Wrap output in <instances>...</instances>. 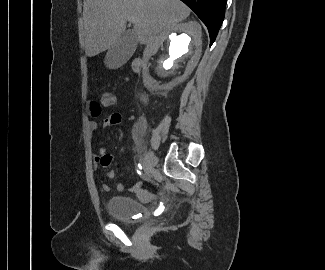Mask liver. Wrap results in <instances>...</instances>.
Returning <instances> with one entry per match:
<instances>
[{
  "label": "liver",
  "mask_w": 325,
  "mask_h": 270,
  "mask_svg": "<svg viewBox=\"0 0 325 270\" xmlns=\"http://www.w3.org/2000/svg\"><path fill=\"white\" fill-rule=\"evenodd\" d=\"M190 15L180 0H87L84 13L85 52L96 56L125 31L127 17H136L133 31L146 44L145 57L159 46L158 36Z\"/></svg>",
  "instance_id": "6515ba94"
}]
</instances>
